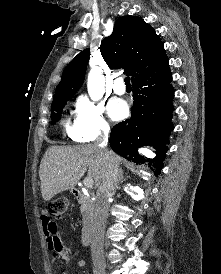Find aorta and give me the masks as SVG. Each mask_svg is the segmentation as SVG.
Here are the masks:
<instances>
[{"label":"aorta","instance_id":"1","mask_svg":"<svg viewBox=\"0 0 221 274\" xmlns=\"http://www.w3.org/2000/svg\"><path fill=\"white\" fill-rule=\"evenodd\" d=\"M105 80L101 72L92 69L88 74L87 89L92 100L100 99L104 94Z\"/></svg>","mask_w":221,"mask_h":274}]
</instances>
